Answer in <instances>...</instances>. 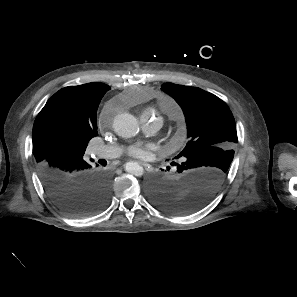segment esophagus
Listing matches in <instances>:
<instances>
[{
  "mask_svg": "<svg viewBox=\"0 0 297 297\" xmlns=\"http://www.w3.org/2000/svg\"><path fill=\"white\" fill-rule=\"evenodd\" d=\"M147 171H150L152 168L148 163L145 162H139Z\"/></svg>",
  "mask_w": 297,
  "mask_h": 297,
  "instance_id": "obj_1",
  "label": "esophagus"
}]
</instances>
